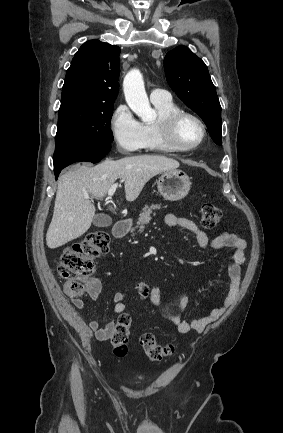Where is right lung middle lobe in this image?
I'll use <instances>...</instances> for the list:
<instances>
[{"label": "right lung middle lobe", "mask_w": 283, "mask_h": 433, "mask_svg": "<svg viewBox=\"0 0 283 433\" xmlns=\"http://www.w3.org/2000/svg\"><path fill=\"white\" fill-rule=\"evenodd\" d=\"M114 103L78 104L59 110L56 144L70 142L95 147L110 146V121Z\"/></svg>", "instance_id": "1"}]
</instances>
